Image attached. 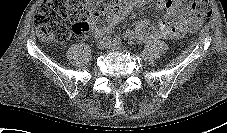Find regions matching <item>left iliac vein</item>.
<instances>
[{
    "label": "left iliac vein",
    "mask_w": 227,
    "mask_h": 133,
    "mask_svg": "<svg viewBox=\"0 0 227 133\" xmlns=\"http://www.w3.org/2000/svg\"><path fill=\"white\" fill-rule=\"evenodd\" d=\"M108 48L112 50H120L122 47L120 45L109 44Z\"/></svg>",
    "instance_id": "1"
}]
</instances>
